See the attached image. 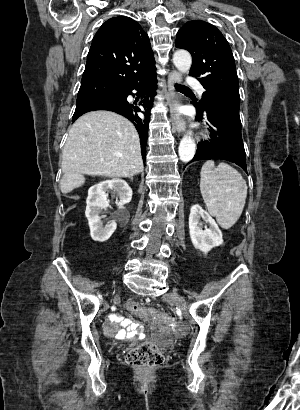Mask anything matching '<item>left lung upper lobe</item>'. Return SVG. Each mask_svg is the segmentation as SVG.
Returning a JSON list of instances; mask_svg holds the SVG:
<instances>
[{"mask_svg":"<svg viewBox=\"0 0 300 410\" xmlns=\"http://www.w3.org/2000/svg\"><path fill=\"white\" fill-rule=\"evenodd\" d=\"M176 47L192 55L190 75L206 89L198 106L219 101L240 108L239 84L231 48L212 24L193 20L177 33Z\"/></svg>","mask_w":300,"mask_h":410,"instance_id":"5c2ea615","label":"left lung upper lobe"}]
</instances>
